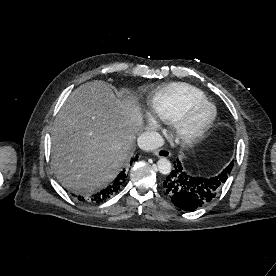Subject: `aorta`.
<instances>
[{"label":"aorta","mask_w":276,"mask_h":276,"mask_svg":"<svg viewBox=\"0 0 276 276\" xmlns=\"http://www.w3.org/2000/svg\"><path fill=\"white\" fill-rule=\"evenodd\" d=\"M158 170L161 174L167 175L172 170L171 162L167 158H160L157 162Z\"/></svg>","instance_id":"obj_1"}]
</instances>
